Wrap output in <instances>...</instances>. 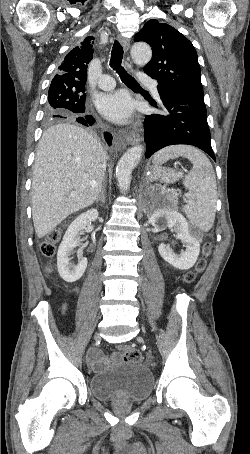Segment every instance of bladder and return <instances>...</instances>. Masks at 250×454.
Returning a JSON list of instances; mask_svg holds the SVG:
<instances>
[{
    "label": "bladder",
    "mask_w": 250,
    "mask_h": 454,
    "mask_svg": "<svg viewBox=\"0 0 250 454\" xmlns=\"http://www.w3.org/2000/svg\"><path fill=\"white\" fill-rule=\"evenodd\" d=\"M88 388L96 399L104 403H139L151 395L153 376L144 365L123 361L111 369L91 375Z\"/></svg>",
    "instance_id": "1"
}]
</instances>
